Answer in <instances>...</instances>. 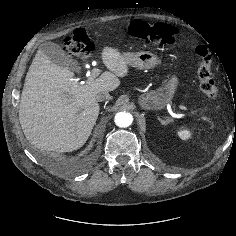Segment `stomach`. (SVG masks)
<instances>
[{"label": "stomach", "mask_w": 236, "mask_h": 236, "mask_svg": "<svg viewBox=\"0 0 236 236\" xmlns=\"http://www.w3.org/2000/svg\"><path fill=\"white\" fill-rule=\"evenodd\" d=\"M129 65L138 69H149L161 63V59L151 52H138L123 54ZM179 79L173 74L164 84L156 90H150L142 94L138 102L145 110H159L171 102L177 89Z\"/></svg>", "instance_id": "0dacf381"}]
</instances>
